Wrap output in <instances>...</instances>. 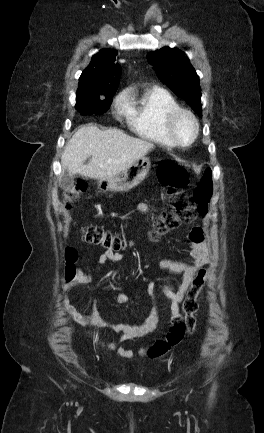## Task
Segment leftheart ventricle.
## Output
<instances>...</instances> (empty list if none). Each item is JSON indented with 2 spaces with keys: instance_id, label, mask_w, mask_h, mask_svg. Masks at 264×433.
I'll list each match as a JSON object with an SVG mask.
<instances>
[{
  "instance_id": "left-heart-ventricle-1",
  "label": "left heart ventricle",
  "mask_w": 264,
  "mask_h": 433,
  "mask_svg": "<svg viewBox=\"0 0 264 433\" xmlns=\"http://www.w3.org/2000/svg\"><path fill=\"white\" fill-rule=\"evenodd\" d=\"M174 131L180 141L187 143L191 140L193 136L194 126L192 121L188 117L181 116L177 119L175 123Z\"/></svg>"
}]
</instances>
